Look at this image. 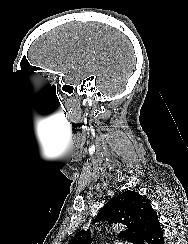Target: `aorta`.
I'll list each match as a JSON object with an SVG mask.
<instances>
[{
	"mask_svg": "<svg viewBox=\"0 0 188 244\" xmlns=\"http://www.w3.org/2000/svg\"><path fill=\"white\" fill-rule=\"evenodd\" d=\"M115 228H117V230H118V229H121V226H120V227H118V226H115ZM115 228H114V229H115Z\"/></svg>",
	"mask_w": 188,
	"mask_h": 244,
	"instance_id": "1",
	"label": "aorta"
}]
</instances>
